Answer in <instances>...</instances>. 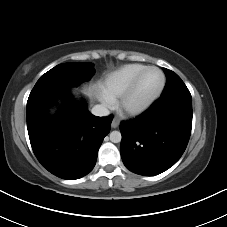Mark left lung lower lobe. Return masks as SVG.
Here are the masks:
<instances>
[{
	"label": "left lung lower lobe",
	"instance_id": "1",
	"mask_svg": "<svg viewBox=\"0 0 227 227\" xmlns=\"http://www.w3.org/2000/svg\"><path fill=\"white\" fill-rule=\"evenodd\" d=\"M192 128V100H157L134 120L120 124L121 157L130 171L160 174L184 153Z\"/></svg>",
	"mask_w": 227,
	"mask_h": 227
}]
</instances>
